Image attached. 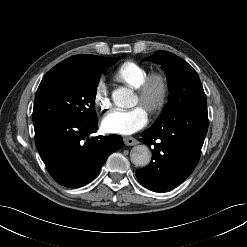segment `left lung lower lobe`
<instances>
[{
	"mask_svg": "<svg viewBox=\"0 0 247 247\" xmlns=\"http://www.w3.org/2000/svg\"><path fill=\"white\" fill-rule=\"evenodd\" d=\"M207 129L206 107H192L155 122L140 139L152 148V160L136 170L138 181L155 192L168 191L181 184L199 161Z\"/></svg>",
	"mask_w": 247,
	"mask_h": 247,
	"instance_id": "obj_1",
	"label": "left lung lower lobe"
}]
</instances>
